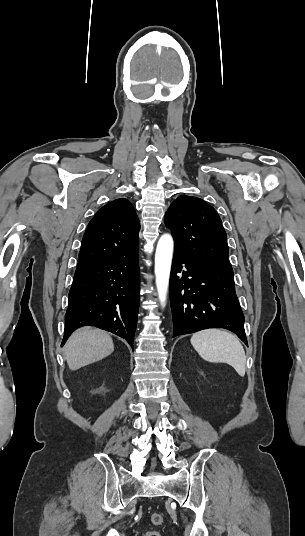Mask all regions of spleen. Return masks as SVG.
Instances as JSON below:
<instances>
[{
  "instance_id": "1",
  "label": "spleen",
  "mask_w": 305,
  "mask_h": 536,
  "mask_svg": "<svg viewBox=\"0 0 305 536\" xmlns=\"http://www.w3.org/2000/svg\"><path fill=\"white\" fill-rule=\"evenodd\" d=\"M193 348L206 362L229 364L239 376H245L246 356L238 338L226 330H202L190 340Z\"/></svg>"
}]
</instances>
